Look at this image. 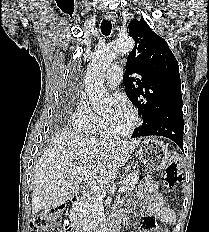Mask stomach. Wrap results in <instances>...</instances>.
I'll return each mask as SVG.
<instances>
[{
	"label": "stomach",
	"mask_w": 209,
	"mask_h": 232,
	"mask_svg": "<svg viewBox=\"0 0 209 232\" xmlns=\"http://www.w3.org/2000/svg\"><path fill=\"white\" fill-rule=\"evenodd\" d=\"M137 156L147 169L162 171L168 166L170 152L163 142L146 139L139 145Z\"/></svg>",
	"instance_id": "0dacf381"
}]
</instances>
